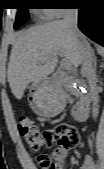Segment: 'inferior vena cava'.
Masks as SVG:
<instances>
[{"instance_id": "1", "label": "inferior vena cava", "mask_w": 104, "mask_h": 169, "mask_svg": "<svg viewBox=\"0 0 104 169\" xmlns=\"http://www.w3.org/2000/svg\"><path fill=\"white\" fill-rule=\"evenodd\" d=\"M63 22L79 44L81 73L87 78L89 84L90 100L92 101V117L96 119L99 114V91L93 65V53L89 43L83 38L78 29V9H65Z\"/></svg>"}]
</instances>
